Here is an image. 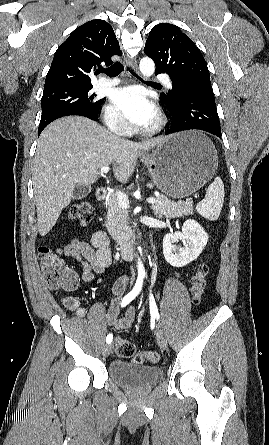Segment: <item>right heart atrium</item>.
<instances>
[{
    "instance_id": "d8ad5b80",
    "label": "right heart atrium",
    "mask_w": 269,
    "mask_h": 445,
    "mask_svg": "<svg viewBox=\"0 0 269 445\" xmlns=\"http://www.w3.org/2000/svg\"><path fill=\"white\" fill-rule=\"evenodd\" d=\"M103 120L106 126L114 133L125 134L130 129L126 119L113 105H107L104 108Z\"/></svg>"
}]
</instances>
